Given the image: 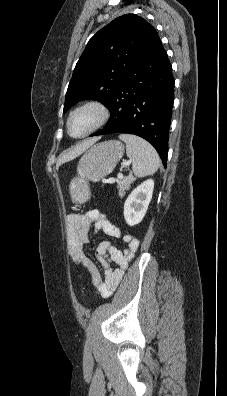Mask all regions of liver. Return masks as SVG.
Wrapping results in <instances>:
<instances>
[{
    "mask_svg": "<svg viewBox=\"0 0 227 396\" xmlns=\"http://www.w3.org/2000/svg\"><path fill=\"white\" fill-rule=\"evenodd\" d=\"M96 141H97V138L82 142L81 144H79L78 146L73 148L71 151H69L67 154H65L62 158H60V160L57 162V167H59L61 164L65 163V162H68V161L76 158L77 156H79L80 154L85 152Z\"/></svg>",
    "mask_w": 227,
    "mask_h": 396,
    "instance_id": "liver-1",
    "label": "liver"
}]
</instances>
